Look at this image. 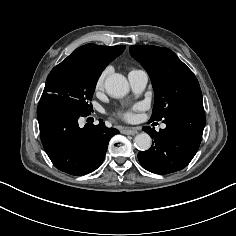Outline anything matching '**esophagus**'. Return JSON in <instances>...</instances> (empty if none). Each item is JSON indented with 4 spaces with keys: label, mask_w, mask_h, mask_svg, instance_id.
I'll list each match as a JSON object with an SVG mask.
<instances>
[{
    "label": "esophagus",
    "mask_w": 236,
    "mask_h": 236,
    "mask_svg": "<svg viewBox=\"0 0 236 236\" xmlns=\"http://www.w3.org/2000/svg\"><path fill=\"white\" fill-rule=\"evenodd\" d=\"M121 132L125 135H136L138 133V131L134 128L124 129Z\"/></svg>",
    "instance_id": "34e87169"
}]
</instances>
